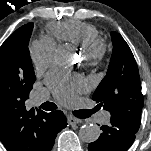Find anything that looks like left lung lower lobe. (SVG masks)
<instances>
[{"instance_id": "left-lung-lower-lobe-1", "label": "left lung lower lobe", "mask_w": 151, "mask_h": 151, "mask_svg": "<svg viewBox=\"0 0 151 151\" xmlns=\"http://www.w3.org/2000/svg\"><path fill=\"white\" fill-rule=\"evenodd\" d=\"M101 129L100 137L89 144V151H126L134 142L135 133L119 122L111 120Z\"/></svg>"}]
</instances>
